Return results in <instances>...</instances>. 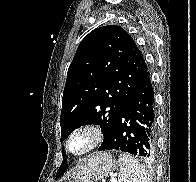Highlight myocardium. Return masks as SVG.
I'll list each match as a JSON object with an SVG mask.
<instances>
[{
    "label": "myocardium",
    "instance_id": "myocardium-1",
    "mask_svg": "<svg viewBox=\"0 0 196 182\" xmlns=\"http://www.w3.org/2000/svg\"><path fill=\"white\" fill-rule=\"evenodd\" d=\"M76 137H84L86 139V145L78 152L73 151L71 147L72 141ZM103 137V130L98 124L92 122L82 123L73 128L68 134L65 148L74 157H83L95 150L101 144Z\"/></svg>",
    "mask_w": 196,
    "mask_h": 182
}]
</instances>
